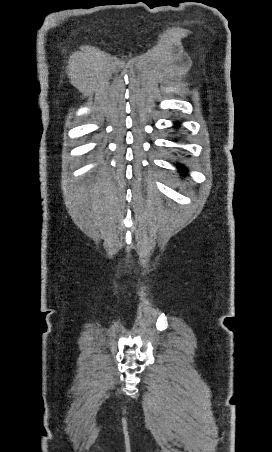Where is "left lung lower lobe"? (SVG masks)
<instances>
[{"label": "left lung lower lobe", "mask_w": 272, "mask_h": 452, "mask_svg": "<svg viewBox=\"0 0 272 452\" xmlns=\"http://www.w3.org/2000/svg\"><path fill=\"white\" fill-rule=\"evenodd\" d=\"M181 170H184V168L180 167Z\"/></svg>", "instance_id": "0a47b994"}]
</instances>
